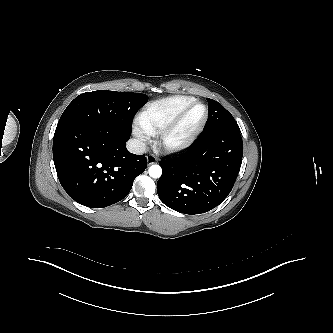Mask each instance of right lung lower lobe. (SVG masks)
Wrapping results in <instances>:
<instances>
[{
	"label": "right lung lower lobe",
	"mask_w": 333,
	"mask_h": 333,
	"mask_svg": "<svg viewBox=\"0 0 333 333\" xmlns=\"http://www.w3.org/2000/svg\"><path fill=\"white\" fill-rule=\"evenodd\" d=\"M129 138L78 127H57L53 159L66 193L92 208L107 207L125 198L134 179L146 169L145 155L126 149Z\"/></svg>",
	"instance_id": "obj_1"
}]
</instances>
